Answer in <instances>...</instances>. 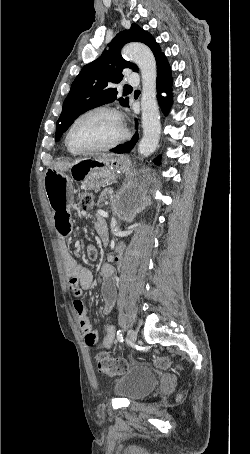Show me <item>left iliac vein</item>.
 Here are the masks:
<instances>
[{
	"instance_id": "4c4485c4",
	"label": "left iliac vein",
	"mask_w": 250,
	"mask_h": 454,
	"mask_svg": "<svg viewBox=\"0 0 250 454\" xmlns=\"http://www.w3.org/2000/svg\"><path fill=\"white\" fill-rule=\"evenodd\" d=\"M128 339L131 343H135L137 339V333L133 329L128 330Z\"/></svg>"
}]
</instances>
